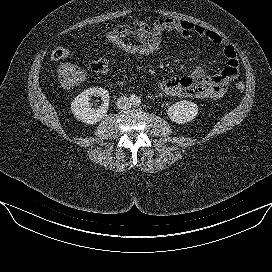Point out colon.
Masks as SVG:
<instances>
[{
  "label": "colon",
  "mask_w": 272,
  "mask_h": 272,
  "mask_svg": "<svg viewBox=\"0 0 272 272\" xmlns=\"http://www.w3.org/2000/svg\"><path fill=\"white\" fill-rule=\"evenodd\" d=\"M105 38L106 41L117 50L136 58L157 55L165 48L163 41L153 39L140 40L115 33L112 30L106 33ZM51 56L54 60L65 59L70 56V51L63 47H57L52 51ZM90 69L96 73H104L108 70V63L105 59H97L91 62ZM236 89L242 92L245 89L244 83L237 82Z\"/></svg>",
  "instance_id": "5ec220e1"
}]
</instances>
